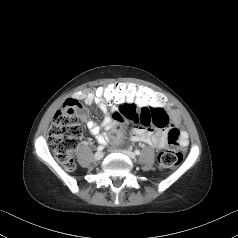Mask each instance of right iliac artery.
I'll return each mask as SVG.
<instances>
[{"mask_svg":"<svg viewBox=\"0 0 238 238\" xmlns=\"http://www.w3.org/2000/svg\"><path fill=\"white\" fill-rule=\"evenodd\" d=\"M104 149V146H98L97 151H102Z\"/></svg>","mask_w":238,"mask_h":238,"instance_id":"82829eb1","label":"right iliac artery"}]
</instances>
